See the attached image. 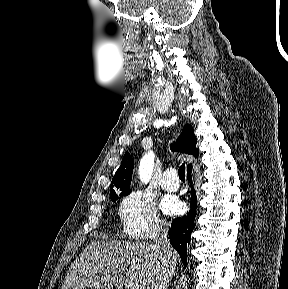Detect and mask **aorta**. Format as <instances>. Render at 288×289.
<instances>
[{"label": "aorta", "mask_w": 288, "mask_h": 289, "mask_svg": "<svg viewBox=\"0 0 288 289\" xmlns=\"http://www.w3.org/2000/svg\"><path fill=\"white\" fill-rule=\"evenodd\" d=\"M154 166V155L152 153L146 154L139 166V176L142 182L147 183L152 175Z\"/></svg>", "instance_id": "1"}]
</instances>
